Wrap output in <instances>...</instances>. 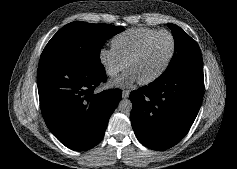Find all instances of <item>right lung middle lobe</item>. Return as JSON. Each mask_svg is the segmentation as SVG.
<instances>
[{"instance_id":"obj_1","label":"right lung middle lobe","mask_w":237,"mask_h":169,"mask_svg":"<svg viewBox=\"0 0 237 169\" xmlns=\"http://www.w3.org/2000/svg\"><path fill=\"white\" fill-rule=\"evenodd\" d=\"M124 30L109 24L75 21L61 28L44 48L40 61L102 65L100 50L106 40Z\"/></svg>"}]
</instances>
